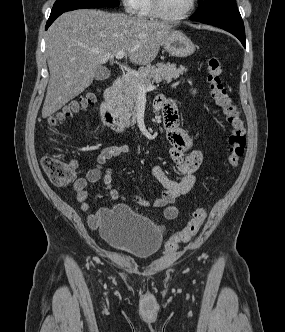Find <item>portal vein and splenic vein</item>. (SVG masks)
Masks as SVG:
<instances>
[{"instance_id":"1","label":"portal vein and splenic vein","mask_w":285,"mask_h":332,"mask_svg":"<svg viewBox=\"0 0 285 332\" xmlns=\"http://www.w3.org/2000/svg\"><path fill=\"white\" fill-rule=\"evenodd\" d=\"M124 56H125V51H118L115 55V58L119 60V59H122ZM155 88L156 87L152 86V85L147 86V87L139 86L138 87V94L139 95H145L147 92L152 91Z\"/></svg>"}]
</instances>
